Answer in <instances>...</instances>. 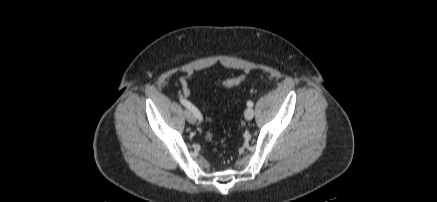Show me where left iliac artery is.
I'll list each match as a JSON object with an SVG mask.
<instances>
[{"mask_svg": "<svg viewBox=\"0 0 437 202\" xmlns=\"http://www.w3.org/2000/svg\"><path fill=\"white\" fill-rule=\"evenodd\" d=\"M253 105H254V103H253L252 101H248V102H247V106H248V107H253Z\"/></svg>", "mask_w": 437, "mask_h": 202, "instance_id": "obj_1", "label": "left iliac artery"}]
</instances>
